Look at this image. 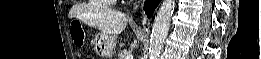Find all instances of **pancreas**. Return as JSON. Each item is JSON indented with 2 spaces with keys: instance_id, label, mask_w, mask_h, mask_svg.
<instances>
[{
  "instance_id": "cf45deb5",
  "label": "pancreas",
  "mask_w": 261,
  "mask_h": 59,
  "mask_svg": "<svg viewBox=\"0 0 261 59\" xmlns=\"http://www.w3.org/2000/svg\"><path fill=\"white\" fill-rule=\"evenodd\" d=\"M130 53V50H122L119 54H118V59H125V57Z\"/></svg>"
}]
</instances>
